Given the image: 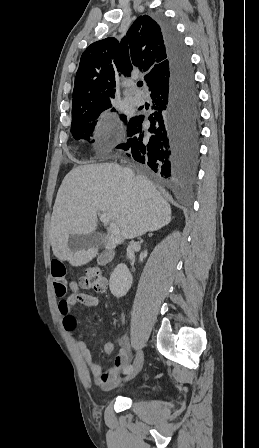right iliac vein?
<instances>
[{
    "mask_svg": "<svg viewBox=\"0 0 259 448\" xmlns=\"http://www.w3.org/2000/svg\"><path fill=\"white\" fill-rule=\"evenodd\" d=\"M143 363H144V355L143 352L139 350L134 360L133 369L130 373H128L126 380L134 378L142 369Z\"/></svg>",
    "mask_w": 259,
    "mask_h": 448,
    "instance_id": "obj_1",
    "label": "right iliac vein"
}]
</instances>
